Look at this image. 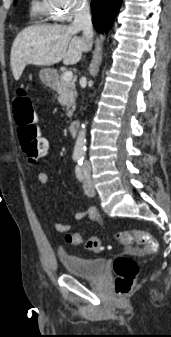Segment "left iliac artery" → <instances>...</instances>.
Listing matches in <instances>:
<instances>
[{"mask_svg":"<svg viewBox=\"0 0 171 337\" xmlns=\"http://www.w3.org/2000/svg\"><path fill=\"white\" fill-rule=\"evenodd\" d=\"M82 163H83V159L79 160L78 161V165L76 166V175H77V178L79 180L82 179V173H81V166H82Z\"/></svg>","mask_w":171,"mask_h":337,"instance_id":"44dca946","label":"left iliac artery"}]
</instances>
